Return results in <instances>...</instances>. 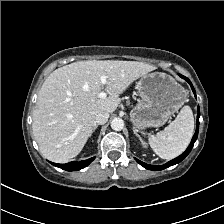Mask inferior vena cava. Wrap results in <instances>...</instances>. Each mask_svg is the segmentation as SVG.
I'll return each mask as SVG.
<instances>
[{"label":"inferior vena cava","mask_w":224,"mask_h":224,"mask_svg":"<svg viewBox=\"0 0 224 224\" xmlns=\"http://www.w3.org/2000/svg\"><path fill=\"white\" fill-rule=\"evenodd\" d=\"M108 118H109L108 112L105 111L99 112L95 116V123L100 125L105 124L108 121Z\"/></svg>","instance_id":"obj_1"}]
</instances>
